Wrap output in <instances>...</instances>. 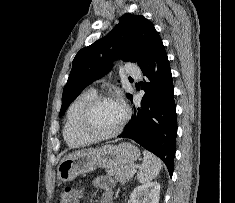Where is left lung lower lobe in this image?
I'll return each instance as SVG.
<instances>
[{
	"mask_svg": "<svg viewBox=\"0 0 235 203\" xmlns=\"http://www.w3.org/2000/svg\"><path fill=\"white\" fill-rule=\"evenodd\" d=\"M147 80L141 106L118 137L130 138L157 155L167 166L170 176L174 168L177 118L171 69L160 39L140 67ZM132 101V96L129 98Z\"/></svg>",
	"mask_w": 235,
	"mask_h": 203,
	"instance_id": "1",
	"label": "left lung lower lobe"
}]
</instances>
